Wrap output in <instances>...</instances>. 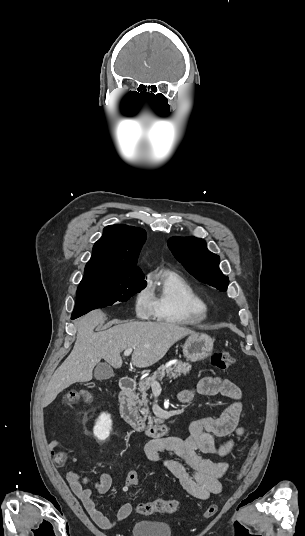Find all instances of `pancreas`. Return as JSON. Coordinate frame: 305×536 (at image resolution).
Masks as SVG:
<instances>
[{"label": "pancreas", "mask_w": 305, "mask_h": 536, "mask_svg": "<svg viewBox=\"0 0 305 536\" xmlns=\"http://www.w3.org/2000/svg\"><path fill=\"white\" fill-rule=\"evenodd\" d=\"M191 370L190 364H187V362H175V364H172V366H160V368H157V372H154L153 376H150V378H146V380H142V382H139L138 386V392L137 396H141V400H137V408H140L139 412H141L142 416H144V420L146 418H151V414L149 412L148 408V394L147 390H149L152 382H156V380H163V378H179V376H186V374H189ZM152 398V394L150 396ZM143 406V408H142ZM151 420H156V418H151Z\"/></svg>", "instance_id": "cf45deb5"}]
</instances>
